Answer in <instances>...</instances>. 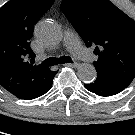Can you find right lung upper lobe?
<instances>
[{
	"label": "right lung upper lobe",
	"instance_id": "cb5924a9",
	"mask_svg": "<svg viewBox=\"0 0 135 135\" xmlns=\"http://www.w3.org/2000/svg\"><path fill=\"white\" fill-rule=\"evenodd\" d=\"M54 1L10 0L0 8V84L13 95L45 85L55 74L29 62L34 25Z\"/></svg>",
	"mask_w": 135,
	"mask_h": 135
}]
</instances>
